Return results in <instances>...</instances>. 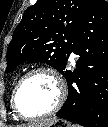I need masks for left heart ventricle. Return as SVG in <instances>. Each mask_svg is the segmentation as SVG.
Here are the masks:
<instances>
[{"label": "left heart ventricle", "mask_w": 108, "mask_h": 127, "mask_svg": "<svg viewBox=\"0 0 108 127\" xmlns=\"http://www.w3.org/2000/svg\"><path fill=\"white\" fill-rule=\"evenodd\" d=\"M58 89L56 82L47 74L39 73L29 77L18 94V106L23 113L36 116L49 111L56 103Z\"/></svg>", "instance_id": "1"}]
</instances>
